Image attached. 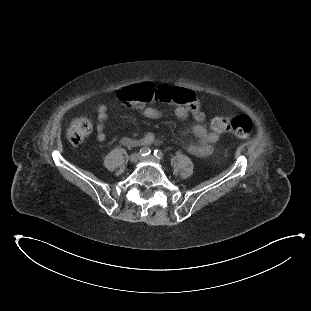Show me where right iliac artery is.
Listing matches in <instances>:
<instances>
[{
	"label": "right iliac artery",
	"instance_id": "82829eb1",
	"mask_svg": "<svg viewBox=\"0 0 311 311\" xmlns=\"http://www.w3.org/2000/svg\"><path fill=\"white\" fill-rule=\"evenodd\" d=\"M150 153H151V149L148 148V147H143V148H141L140 151H139V154H140L141 156H147V155H149Z\"/></svg>",
	"mask_w": 311,
	"mask_h": 311
}]
</instances>
